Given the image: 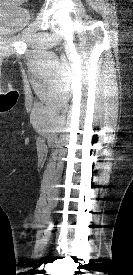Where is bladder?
<instances>
[{
	"mask_svg": "<svg viewBox=\"0 0 133 275\" xmlns=\"http://www.w3.org/2000/svg\"><path fill=\"white\" fill-rule=\"evenodd\" d=\"M16 2L17 0H0V31L18 32L29 23V10L17 6Z\"/></svg>",
	"mask_w": 133,
	"mask_h": 275,
	"instance_id": "obj_1",
	"label": "bladder"
}]
</instances>
